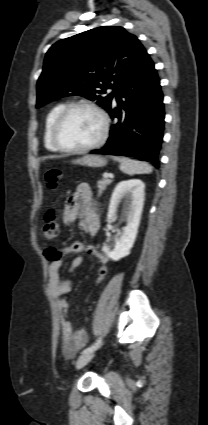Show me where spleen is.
Returning a JSON list of instances; mask_svg holds the SVG:
<instances>
[{"label":"spleen","mask_w":208,"mask_h":425,"mask_svg":"<svg viewBox=\"0 0 208 425\" xmlns=\"http://www.w3.org/2000/svg\"><path fill=\"white\" fill-rule=\"evenodd\" d=\"M115 159L120 162V170L129 175L149 174L153 171L151 165L146 162L136 161L126 157H116Z\"/></svg>","instance_id":"obj_1"}]
</instances>
